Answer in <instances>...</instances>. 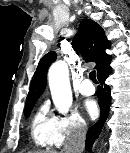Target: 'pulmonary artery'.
Returning <instances> with one entry per match:
<instances>
[{"label":"pulmonary artery","instance_id":"obj_1","mask_svg":"<svg viewBox=\"0 0 130 153\" xmlns=\"http://www.w3.org/2000/svg\"><path fill=\"white\" fill-rule=\"evenodd\" d=\"M78 91L85 96H90L95 93V88L92 85L91 81L88 79L83 80L79 86H78Z\"/></svg>","mask_w":130,"mask_h":153}]
</instances>
